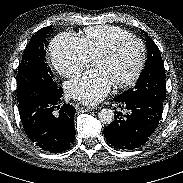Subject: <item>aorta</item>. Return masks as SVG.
Returning a JSON list of instances; mask_svg holds the SVG:
<instances>
[{
	"label": "aorta",
	"instance_id": "1",
	"mask_svg": "<svg viewBox=\"0 0 183 183\" xmlns=\"http://www.w3.org/2000/svg\"><path fill=\"white\" fill-rule=\"evenodd\" d=\"M99 121L103 124H110L114 120V112L111 109H101L98 113Z\"/></svg>",
	"mask_w": 183,
	"mask_h": 183
}]
</instances>
